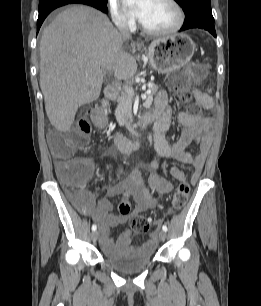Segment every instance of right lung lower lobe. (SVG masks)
I'll return each instance as SVG.
<instances>
[{
    "label": "right lung lower lobe",
    "instance_id": "right-lung-lower-lobe-1",
    "mask_svg": "<svg viewBox=\"0 0 261 306\" xmlns=\"http://www.w3.org/2000/svg\"><path fill=\"white\" fill-rule=\"evenodd\" d=\"M71 3H81L93 6L104 13L108 12L106 6L101 5L99 3L92 2L90 0H40L39 2V16L37 20V31H39L43 21L48 16V14L53 11L54 9Z\"/></svg>",
    "mask_w": 261,
    "mask_h": 306
}]
</instances>
